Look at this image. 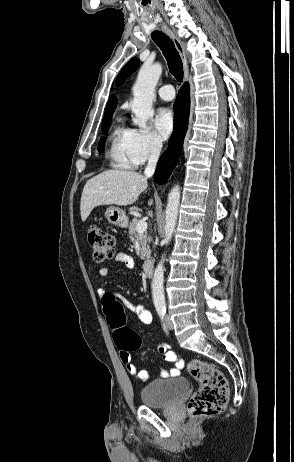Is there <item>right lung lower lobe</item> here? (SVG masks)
Listing matches in <instances>:
<instances>
[{"label": "right lung lower lobe", "mask_w": 294, "mask_h": 462, "mask_svg": "<svg viewBox=\"0 0 294 462\" xmlns=\"http://www.w3.org/2000/svg\"><path fill=\"white\" fill-rule=\"evenodd\" d=\"M174 110V131L169 141V147L161 156L155 172V179L158 183L165 182L179 158L190 111V87L188 83L181 87L174 104Z\"/></svg>", "instance_id": "obj_1"}]
</instances>
